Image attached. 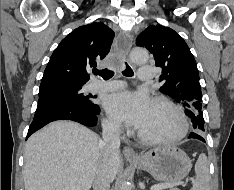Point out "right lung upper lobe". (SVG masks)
Instances as JSON below:
<instances>
[{"instance_id": "cb5924a9", "label": "right lung upper lobe", "mask_w": 234, "mask_h": 190, "mask_svg": "<svg viewBox=\"0 0 234 190\" xmlns=\"http://www.w3.org/2000/svg\"><path fill=\"white\" fill-rule=\"evenodd\" d=\"M114 32L103 23L78 27L55 49L44 71L42 82L63 80L85 84L88 71L109 52Z\"/></svg>"}]
</instances>
